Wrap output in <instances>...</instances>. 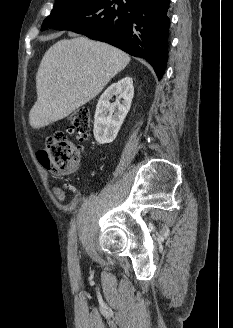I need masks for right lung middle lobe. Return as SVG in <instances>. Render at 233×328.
<instances>
[{"label":"right lung middle lobe","mask_w":233,"mask_h":328,"mask_svg":"<svg viewBox=\"0 0 233 328\" xmlns=\"http://www.w3.org/2000/svg\"><path fill=\"white\" fill-rule=\"evenodd\" d=\"M96 0H56L51 14L44 20L41 30L50 27L55 21L67 17L95 2Z\"/></svg>","instance_id":"obj_1"}]
</instances>
